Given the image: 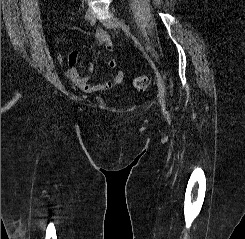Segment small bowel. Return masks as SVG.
<instances>
[{
  "label": "small bowel",
  "instance_id": "small-bowel-1",
  "mask_svg": "<svg viewBox=\"0 0 245 239\" xmlns=\"http://www.w3.org/2000/svg\"><path fill=\"white\" fill-rule=\"evenodd\" d=\"M96 38L98 43L108 50H113V44L109 35L106 31L99 29L96 32ZM57 61L60 66L63 65V57L61 55L57 56ZM106 64L109 68L114 69L117 65L115 58L110 57L107 59ZM79 62H78V53L77 51H72L68 55V67L64 71L65 77L76 87L86 93H95L99 91H105L113 89L119 86L125 77L123 71L116 72L112 78L102 84H92L90 83L89 74L94 71V65L92 63H88L84 66L86 73H81L78 70Z\"/></svg>",
  "mask_w": 245,
  "mask_h": 239
}]
</instances>
